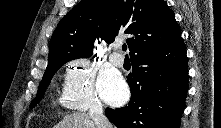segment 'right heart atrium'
<instances>
[{"mask_svg":"<svg viewBox=\"0 0 221 128\" xmlns=\"http://www.w3.org/2000/svg\"><path fill=\"white\" fill-rule=\"evenodd\" d=\"M95 79L96 72L86 57L71 59L63 75L61 89L63 104L78 112L100 106Z\"/></svg>","mask_w":221,"mask_h":128,"instance_id":"1","label":"right heart atrium"}]
</instances>
